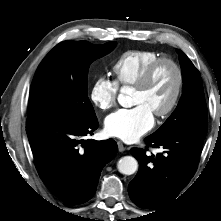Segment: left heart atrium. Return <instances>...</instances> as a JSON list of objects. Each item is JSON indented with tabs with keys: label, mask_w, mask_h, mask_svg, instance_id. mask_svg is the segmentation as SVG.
I'll return each mask as SVG.
<instances>
[{
	"label": "left heart atrium",
	"mask_w": 221,
	"mask_h": 221,
	"mask_svg": "<svg viewBox=\"0 0 221 221\" xmlns=\"http://www.w3.org/2000/svg\"><path fill=\"white\" fill-rule=\"evenodd\" d=\"M153 124V113L145 105L139 104L110 114L105 120V131L109 136L134 142L148 132Z\"/></svg>",
	"instance_id": "1"
}]
</instances>
